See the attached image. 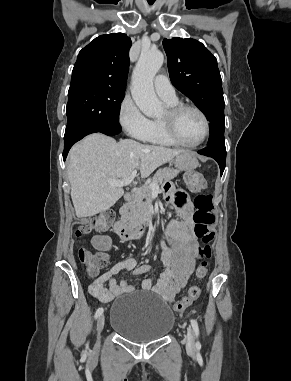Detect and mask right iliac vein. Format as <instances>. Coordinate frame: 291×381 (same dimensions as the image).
Listing matches in <instances>:
<instances>
[{"mask_svg":"<svg viewBox=\"0 0 291 381\" xmlns=\"http://www.w3.org/2000/svg\"><path fill=\"white\" fill-rule=\"evenodd\" d=\"M104 324H105V317H104V315H101V316H99V318L97 320V337H98V340H99L100 334L104 328Z\"/></svg>","mask_w":291,"mask_h":381,"instance_id":"right-iliac-vein-1","label":"right iliac vein"}]
</instances>
